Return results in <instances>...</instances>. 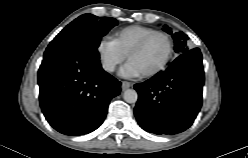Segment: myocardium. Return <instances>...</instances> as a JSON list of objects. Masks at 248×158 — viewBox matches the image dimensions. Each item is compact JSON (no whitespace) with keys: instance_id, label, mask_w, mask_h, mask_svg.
I'll list each match as a JSON object with an SVG mask.
<instances>
[{"instance_id":"myocardium-1","label":"myocardium","mask_w":248,"mask_h":158,"mask_svg":"<svg viewBox=\"0 0 248 158\" xmlns=\"http://www.w3.org/2000/svg\"><path fill=\"white\" fill-rule=\"evenodd\" d=\"M154 36H162L165 38L167 45H168V49H167V53L166 56L164 58V60L162 61V63L160 65H158L155 69L149 71V72H145L142 73L143 76L145 77H152L157 75L158 73H160L161 71H163L168 63L170 62V59L172 57L173 54V41L171 39V37L162 31H153L147 35H145L140 41H138L129 51V53L127 54V58L130 60V58L136 54L137 52L141 51L145 45L148 43V41L153 38Z\"/></svg>"}]
</instances>
